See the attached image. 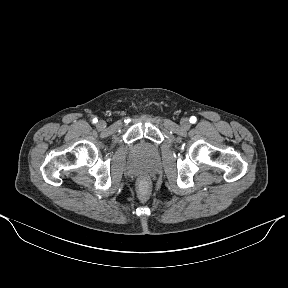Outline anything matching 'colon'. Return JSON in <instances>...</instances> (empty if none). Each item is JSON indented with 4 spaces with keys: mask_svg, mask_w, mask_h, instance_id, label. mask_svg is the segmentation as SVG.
Wrapping results in <instances>:
<instances>
[{
    "mask_svg": "<svg viewBox=\"0 0 288 288\" xmlns=\"http://www.w3.org/2000/svg\"><path fill=\"white\" fill-rule=\"evenodd\" d=\"M139 193L142 197H146L149 193V184L147 181L142 180L139 183Z\"/></svg>",
    "mask_w": 288,
    "mask_h": 288,
    "instance_id": "1",
    "label": "colon"
}]
</instances>
